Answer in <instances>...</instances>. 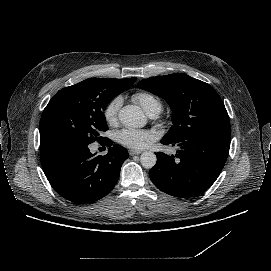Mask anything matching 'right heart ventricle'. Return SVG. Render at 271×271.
Listing matches in <instances>:
<instances>
[{
  "instance_id": "obj_1",
  "label": "right heart ventricle",
  "mask_w": 271,
  "mask_h": 271,
  "mask_svg": "<svg viewBox=\"0 0 271 271\" xmlns=\"http://www.w3.org/2000/svg\"><path fill=\"white\" fill-rule=\"evenodd\" d=\"M132 99L139 103L146 113L152 116L160 112L163 108L161 99L150 91H136L132 94Z\"/></svg>"
}]
</instances>
